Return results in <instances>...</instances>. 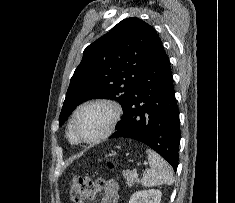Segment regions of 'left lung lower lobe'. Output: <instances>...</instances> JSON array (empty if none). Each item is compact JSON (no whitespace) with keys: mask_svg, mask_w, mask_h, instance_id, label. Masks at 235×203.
Instances as JSON below:
<instances>
[{"mask_svg":"<svg viewBox=\"0 0 235 203\" xmlns=\"http://www.w3.org/2000/svg\"><path fill=\"white\" fill-rule=\"evenodd\" d=\"M110 138L141 141L165 158L176 171L180 142L179 110L170 62L162 42L146 65L124 116Z\"/></svg>","mask_w":235,"mask_h":203,"instance_id":"0a47b994","label":"left lung lower lobe"}]
</instances>
